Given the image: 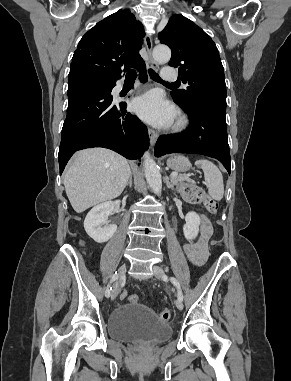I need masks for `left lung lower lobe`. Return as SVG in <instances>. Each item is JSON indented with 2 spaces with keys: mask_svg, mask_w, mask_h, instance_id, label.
<instances>
[{
  "mask_svg": "<svg viewBox=\"0 0 291 381\" xmlns=\"http://www.w3.org/2000/svg\"><path fill=\"white\" fill-rule=\"evenodd\" d=\"M182 109L189 115V128L180 134L160 136L155 145V156L169 153L202 154L218 159L230 174L226 105L196 101Z\"/></svg>",
  "mask_w": 291,
  "mask_h": 381,
  "instance_id": "0a47b994",
  "label": "left lung lower lobe"
}]
</instances>
